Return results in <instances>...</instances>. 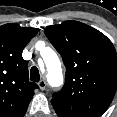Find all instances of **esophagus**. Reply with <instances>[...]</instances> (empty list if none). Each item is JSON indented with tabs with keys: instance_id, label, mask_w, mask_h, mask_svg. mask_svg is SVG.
I'll list each match as a JSON object with an SVG mask.
<instances>
[{
	"instance_id": "34e87169",
	"label": "esophagus",
	"mask_w": 117,
	"mask_h": 117,
	"mask_svg": "<svg viewBox=\"0 0 117 117\" xmlns=\"http://www.w3.org/2000/svg\"><path fill=\"white\" fill-rule=\"evenodd\" d=\"M46 85H47V83L44 79L40 80L39 83H38V86L41 90H45Z\"/></svg>"
}]
</instances>
